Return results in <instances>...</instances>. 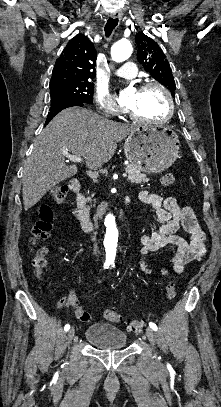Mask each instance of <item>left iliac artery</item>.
<instances>
[{
  "instance_id": "1",
  "label": "left iliac artery",
  "mask_w": 221,
  "mask_h": 407,
  "mask_svg": "<svg viewBox=\"0 0 221 407\" xmlns=\"http://www.w3.org/2000/svg\"><path fill=\"white\" fill-rule=\"evenodd\" d=\"M114 266V265H113ZM150 328H152L154 331H157V325L153 322L149 323Z\"/></svg>"
}]
</instances>
